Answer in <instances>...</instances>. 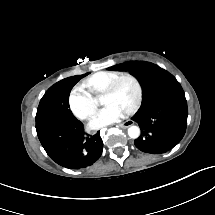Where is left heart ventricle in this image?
<instances>
[{"label":"left heart ventricle","mask_w":215,"mask_h":215,"mask_svg":"<svg viewBox=\"0 0 215 215\" xmlns=\"http://www.w3.org/2000/svg\"><path fill=\"white\" fill-rule=\"evenodd\" d=\"M131 99V87L126 82L119 83L114 92L110 95V102L113 105H127Z\"/></svg>","instance_id":"1"}]
</instances>
